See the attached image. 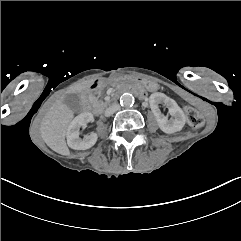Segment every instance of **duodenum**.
I'll return each mask as SVG.
<instances>
[{
  "mask_svg": "<svg viewBox=\"0 0 241 241\" xmlns=\"http://www.w3.org/2000/svg\"><path fill=\"white\" fill-rule=\"evenodd\" d=\"M104 85V82L102 80H95L92 82L88 88L84 91L82 96V104L83 108L86 111H94L97 112V109H94L91 104V96L98 91L102 86ZM123 93H133L137 95L138 97L143 98L145 96V91L139 87L129 86V87H123L118 89L115 92V95H121Z\"/></svg>",
  "mask_w": 241,
  "mask_h": 241,
  "instance_id": "obj_1",
  "label": "duodenum"
}]
</instances>
